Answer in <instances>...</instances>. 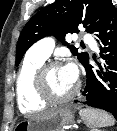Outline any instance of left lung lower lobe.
Masks as SVG:
<instances>
[{
	"mask_svg": "<svg viewBox=\"0 0 117 131\" xmlns=\"http://www.w3.org/2000/svg\"><path fill=\"white\" fill-rule=\"evenodd\" d=\"M95 33L103 66L95 69L88 60L83 64L87 77L84 104L110 112L117 119V10L112 2L106 6Z\"/></svg>",
	"mask_w": 117,
	"mask_h": 131,
	"instance_id": "1",
	"label": "left lung lower lobe"
}]
</instances>
